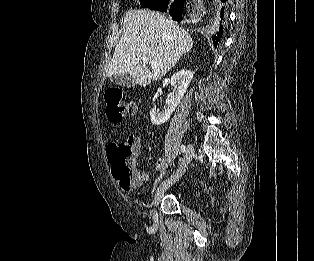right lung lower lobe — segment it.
<instances>
[{
    "label": "right lung lower lobe",
    "instance_id": "right-lung-lower-lobe-1",
    "mask_svg": "<svg viewBox=\"0 0 314 261\" xmlns=\"http://www.w3.org/2000/svg\"><path fill=\"white\" fill-rule=\"evenodd\" d=\"M227 0H216L218 4V23L212 29L211 39L215 47H217L220 42L223 31H224V23L226 18V3ZM151 10H158L168 12L173 20L180 22L185 19V15L182 12L181 4L175 0H162L161 2L150 6Z\"/></svg>",
    "mask_w": 314,
    "mask_h": 261
}]
</instances>
